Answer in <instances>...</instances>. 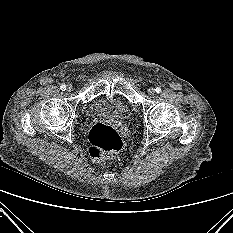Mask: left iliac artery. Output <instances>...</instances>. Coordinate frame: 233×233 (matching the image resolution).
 <instances>
[{
  "mask_svg": "<svg viewBox=\"0 0 233 233\" xmlns=\"http://www.w3.org/2000/svg\"><path fill=\"white\" fill-rule=\"evenodd\" d=\"M155 92L160 93L161 92V88L160 87H156Z\"/></svg>",
  "mask_w": 233,
  "mask_h": 233,
  "instance_id": "obj_1",
  "label": "left iliac artery"
}]
</instances>
